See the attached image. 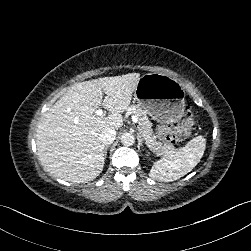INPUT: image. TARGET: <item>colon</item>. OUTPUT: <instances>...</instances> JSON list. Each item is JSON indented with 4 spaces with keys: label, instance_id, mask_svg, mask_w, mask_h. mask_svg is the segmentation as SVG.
I'll list each match as a JSON object with an SVG mask.
<instances>
[{
    "label": "colon",
    "instance_id": "1",
    "mask_svg": "<svg viewBox=\"0 0 251 251\" xmlns=\"http://www.w3.org/2000/svg\"><path fill=\"white\" fill-rule=\"evenodd\" d=\"M196 127V117L191 108L187 107L182 119L160 125L157 129V136L166 144H179L186 140Z\"/></svg>",
    "mask_w": 251,
    "mask_h": 251
}]
</instances>
